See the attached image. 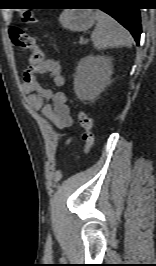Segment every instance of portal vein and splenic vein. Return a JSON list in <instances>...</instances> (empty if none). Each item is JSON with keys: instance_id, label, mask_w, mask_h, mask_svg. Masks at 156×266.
Returning <instances> with one entry per match:
<instances>
[{"instance_id": "1", "label": "portal vein and splenic vein", "mask_w": 156, "mask_h": 266, "mask_svg": "<svg viewBox=\"0 0 156 266\" xmlns=\"http://www.w3.org/2000/svg\"><path fill=\"white\" fill-rule=\"evenodd\" d=\"M80 43L83 44L84 43V40H81Z\"/></svg>"}]
</instances>
